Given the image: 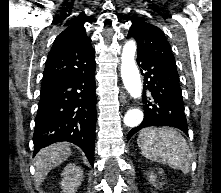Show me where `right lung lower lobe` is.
Instances as JSON below:
<instances>
[{
  "instance_id": "98d812e1",
  "label": "right lung lower lobe",
  "mask_w": 221,
  "mask_h": 193,
  "mask_svg": "<svg viewBox=\"0 0 221 193\" xmlns=\"http://www.w3.org/2000/svg\"><path fill=\"white\" fill-rule=\"evenodd\" d=\"M95 62L83 71L42 83L34 154L59 141L78 145L94 164L96 94Z\"/></svg>"
}]
</instances>
